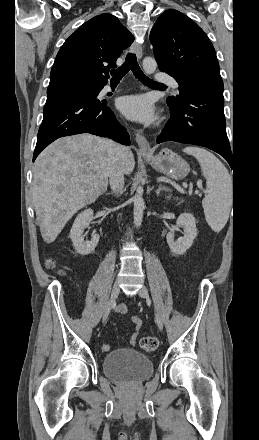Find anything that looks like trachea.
Here are the masks:
<instances>
[{"mask_svg":"<svg viewBox=\"0 0 259 440\" xmlns=\"http://www.w3.org/2000/svg\"><path fill=\"white\" fill-rule=\"evenodd\" d=\"M132 70L133 75L142 83L146 85H157V86H163V84H160L158 82H155L154 80L147 77L141 70V68L138 65L136 55L134 53H128L125 62L117 69L111 71L112 79L111 81H120L123 76L128 73L129 70Z\"/></svg>","mask_w":259,"mask_h":440,"instance_id":"trachea-1","label":"trachea"}]
</instances>
